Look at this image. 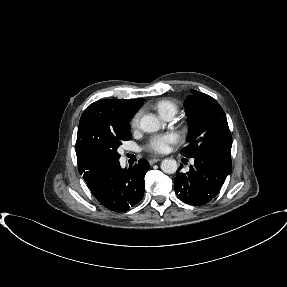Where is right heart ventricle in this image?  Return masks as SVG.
Instances as JSON below:
<instances>
[{
	"instance_id": "1",
	"label": "right heart ventricle",
	"mask_w": 287,
	"mask_h": 287,
	"mask_svg": "<svg viewBox=\"0 0 287 287\" xmlns=\"http://www.w3.org/2000/svg\"><path fill=\"white\" fill-rule=\"evenodd\" d=\"M155 108L164 117L167 114H176L178 107L175 102L168 99H161L155 103Z\"/></svg>"
}]
</instances>
